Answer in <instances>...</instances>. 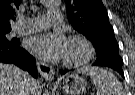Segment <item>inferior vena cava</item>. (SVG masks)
Segmentation results:
<instances>
[{
	"label": "inferior vena cava",
	"mask_w": 135,
	"mask_h": 95,
	"mask_svg": "<svg viewBox=\"0 0 135 95\" xmlns=\"http://www.w3.org/2000/svg\"><path fill=\"white\" fill-rule=\"evenodd\" d=\"M25 90H26L25 95H29V92L31 91V87H30V85H29V84H27V85H26Z\"/></svg>",
	"instance_id": "1"
}]
</instances>
